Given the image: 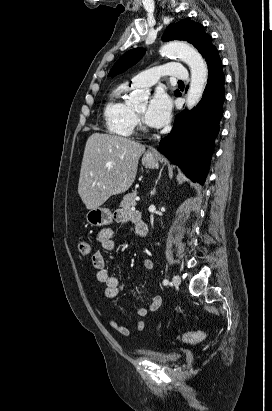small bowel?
<instances>
[{"label":"small bowel","instance_id":"obj_1","mask_svg":"<svg viewBox=\"0 0 272 411\" xmlns=\"http://www.w3.org/2000/svg\"><path fill=\"white\" fill-rule=\"evenodd\" d=\"M136 218H140L137 211L130 209H121L115 214V220L122 224L134 223ZM113 231L109 228L102 229L96 236L97 242L106 251H112L115 249V242L113 240ZM92 264L96 269V279L102 283L104 288V295L107 298H115L121 292L123 285L119 279L108 272L106 261L103 254L100 251L92 254ZM143 268L146 271H151L154 267V263L150 259H145L142 262ZM162 297L155 295L151 298L150 304L147 307H138L135 309L136 316L142 318L151 312L156 311L162 304ZM105 320L108 325L116 332L124 336H129L137 332H142L145 329V323L142 320H137L134 323L133 330L119 324L110 313L105 314Z\"/></svg>","mask_w":272,"mask_h":411}]
</instances>
